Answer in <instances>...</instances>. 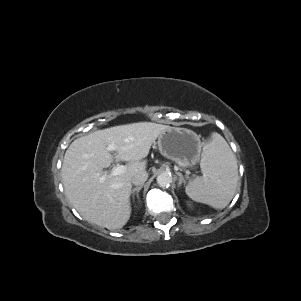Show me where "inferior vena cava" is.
<instances>
[{"mask_svg":"<svg viewBox=\"0 0 301 301\" xmlns=\"http://www.w3.org/2000/svg\"><path fill=\"white\" fill-rule=\"evenodd\" d=\"M147 179L148 173L146 172V170H139L132 177V183L136 186H140L143 185Z\"/></svg>","mask_w":301,"mask_h":301,"instance_id":"obj_1","label":"inferior vena cava"}]
</instances>
